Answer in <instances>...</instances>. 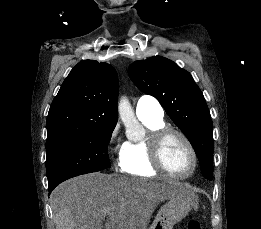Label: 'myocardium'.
I'll return each mask as SVG.
<instances>
[{"mask_svg":"<svg viewBox=\"0 0 261 229\" xmlns=\"http://www.w3.org/2000/svg\"><path fill=\"white\" fill-rule=\"evenodd\" d=\"M173 137H179L186 144L192 156V167L184 174H178L172 171L166 164L164 158L165 145L169 139ZM151 159L159 171L175 179H185L190 177L195 172L198 165L197 153L190 139L183 132L168 127L155 133L151 144Z\"/></svg>","mask_w":261,"mask_h":229,"instance_id":"obj_1","label":"myocardium"}]
</instances>
